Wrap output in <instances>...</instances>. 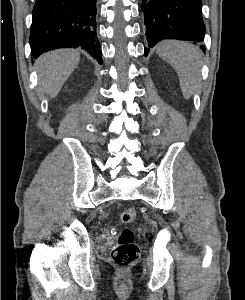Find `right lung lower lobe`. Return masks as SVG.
<instances>
[{
	"mask_svg": "<svg viewBox=\"0 0 245 300\" xmlns=\"http://www.w3.org/2000/svg\"><path fill=\"white\" fill-rule=\"evenodd\" d=\"M32 54L81 47L100 64L96 36V0H36L30 33Z\"/></svg>",
	"mask_w": 245,
	"mask_h": 300,
	"instance_id": "right-lung-lower-lobe-1",
	"label": "right lung lower lobe"
}]
</instances>
